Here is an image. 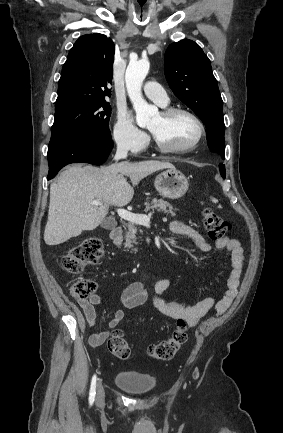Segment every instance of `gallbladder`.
<instances>
[{
	"label": "gallbladder",
	"instance_id": "obj_1",
	"mask_svg": "<svg viewBox=\"0 0 283 433\" xmlns=\"http://www.w3.org/2000/svg\"><path fill=\"white\" fill-rule=\"evenodd\" d=\"M101 227L103 229H108V231H111V229H115L117 227L116 221L114 219H111V217H108V219H105V221H102Z\"/></svg>",
	"mask_w": 283,
	"mask_h": 433
}]
</instances>
